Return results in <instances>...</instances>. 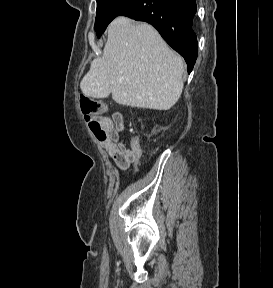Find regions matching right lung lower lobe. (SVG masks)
Wrapping results in <instances>:
<instances>
[{
  "label": "right lung lower lobe",
  "instance_id": "obj_1",
  "mask_svg": "<svg viewBox=\"0 0 273 288\" xmlns=\"http://www.w3.org/2000/svg\"><path fill=\"white\" fill-rule=\"evenodd\" d=\"M196 10L195 0H137L121 15L154 26L164 40L184 57L190 73L198 54L194 32Z\"/></svg>",
  "mask_w": 273,
  "mask_h": 288
}]
</instances>
